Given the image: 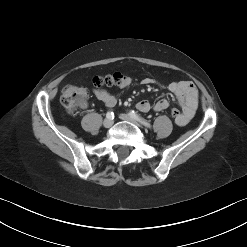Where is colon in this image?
I'll list each match as a JSON object with an SVG mask.
<instances>
[{
  "mask_svg": "<svg viewBox=\"0 0 247 247\" xmlns=\"http://www.w3.org/2000/svg\"><path fill=\"white\" fill-rule=\"evenodd\" d=\"M125 76L120 73L107 74L105 76H97L93 79V84L96 87H112L121 85L125 80ZM61 102L64 109L74 114L81 108H83L87 102V90L84 87L67 86L62 92ZM171 117L176 121L181 111L173 108L170 111Z\"/></svg>",
  "mask_w": 247,
  "mask_h": 247,
  "instance_id": "colon-1",
  "label": "colon"
}]
</instances>
